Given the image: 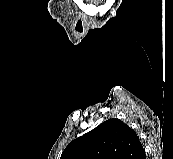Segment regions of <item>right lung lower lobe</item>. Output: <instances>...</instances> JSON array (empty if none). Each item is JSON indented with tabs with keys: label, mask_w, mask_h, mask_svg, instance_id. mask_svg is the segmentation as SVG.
Instances as JSON below:
<instances>
[{
	"label": "right lung lower lobe",
	"mask_w": 173,
	"mask_h": 159,
	"mask_svg": "<svg viewBox=\"0 0 173 159\" xmlns=\"http://www.w3.org/2000/svg\"><path fill=\"white\" fill-rule=\"evenodd\" d=\"M141 159H146V155H144Z\"/></svg>",
	"instance_id": "98d812e1"
}]
</instances>
